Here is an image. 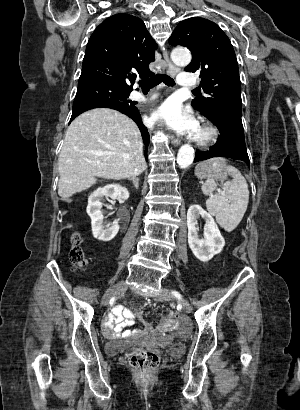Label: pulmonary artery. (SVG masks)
I'll return each mask as SVG.
<instances>
[{"instance_id": "e3ab8cb5", "label": "pulmonary artery", "mask_w": 300, "mask_h": 410, "mask_svg": "<svg viewBox=\"0 0 300 410\" xmlns=\"http://www.w3.org/2000/svg\"><path fill=\"white\" fill-rule=\"evenodd\" d=\"M197 78L193 74L181 73L178 78V84L182 87H195L197 85ZM156 95L153 94L150 97H145L139 92L132 93V99L138 102H147L150 99L155 98Z\"/></svg>"}]
</instances>
